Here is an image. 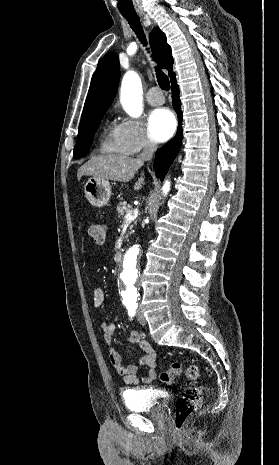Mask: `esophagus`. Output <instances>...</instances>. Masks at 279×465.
Masks as SVG:
<instances>
[{"instance_id":"obj_1","label":"esophagus","mask_w":279,"mask_h":465,"mask_svg":"<svg viewBox=\"0 0 279 465\" xmlns=\"http://www.w3.org/2000/svg\"><path fill=\"white\" fill-rule=\"evenodd\" d=\"M141 16H142V18H144V19H145V16H144V15H141Z\"/></svg>"}]
</instances>
